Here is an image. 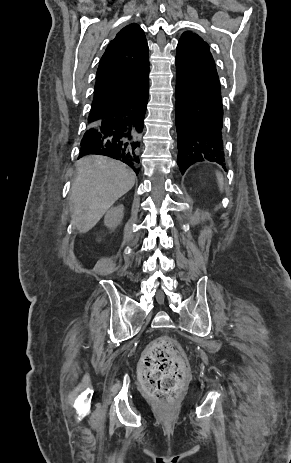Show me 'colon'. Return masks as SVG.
Segmentation results:
<instances>
[{"label":"colon","instance_id":"obj_1","mask_svg":"<svg viewBox=\"0 0 291 463\" xmlns=\"http://www.w3.org/2000/svg\"><path fill=\"white\" fill-rule=\"evenodd\" d=\"M139 370L144 391L159 403L178 394L188 373L179 345L166 337L147 347Z\"/></svg>","mask_w":291,"mask_h":463}]
</instances>
